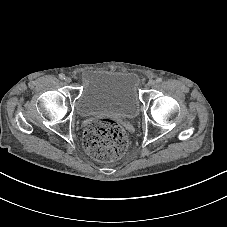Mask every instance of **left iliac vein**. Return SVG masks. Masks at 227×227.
<instances>
[{
  "label": "left iliac vein",
  "instance_id": "1",
  "mask_svg": "<svg viewBox=\"0 0 227 227\" xmlns=\"http://www.w3.org/2000/svg\"><path fill=\"white\" fill-rule=\"evenodd\" d=\"M155 81L154 80H150L149 82H148V86L149 87H152V86H154L155 85Z\"/></svg>",
  "mask_w": 227,
  "mask_h": 227
}]
</instances>
